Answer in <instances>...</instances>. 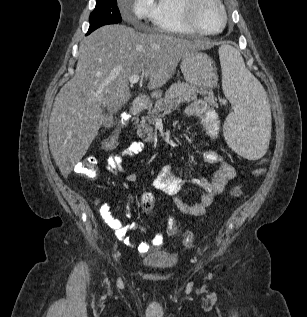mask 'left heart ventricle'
<instances>
[{
	"mask_svg": "<svg viewBox=\"0 0 307 317\" xmlns=\"http://www.w3.org/2000/svg\"><path fill=\"white\" fill-rule=\"evenodd\" d=\"M197 20L204 30L215 31L219 29L222 23L219 7L210 0H205L197 9Z\"/></svg>",
	"mask_w": 307,
	"mask_h": 317,
	"instance_id": "left-heart-ventricle-1",
	"label": "left heart ventricle"
}]
</instances>
